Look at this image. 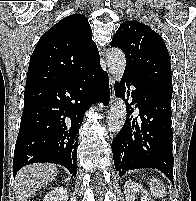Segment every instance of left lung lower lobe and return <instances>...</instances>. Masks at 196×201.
Here are the masks:
<instances>
[{
  "instance_id": "left-lung-lower-lobe-1",
  "label": "left lung lower lobe",
  "mask_w": 196,
  "mask_h": 201,
  "mask_svg": "<svg viewBox=\"0 0 196 201\" xmlns=\"http://www.w3.org/2000/svg\"><path fill=\"white\" fill-rule=\"evenodd\" d=\"M115 85V92L125 98L130 85L132 102L127 104V117L124 126L112 142L115 169L120 177L126 171L139 168H156L173 183V164L171 130L172 94L143 84L134 76L125 74L121 85ZM139 109V118H133L134 105Z\"/></svg>"
}]
</instances>
